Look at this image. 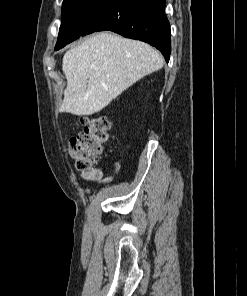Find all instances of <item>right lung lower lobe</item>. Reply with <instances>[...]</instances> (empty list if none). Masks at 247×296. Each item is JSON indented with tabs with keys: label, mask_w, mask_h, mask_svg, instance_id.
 <instances>
[{
	"label": "right lung lower lobe",
	"mask_w": 247,
	"mask_h": 296,
	"mask_svg": "<svg viewBox=\"0 0 247 296\" xmlns=\"http://www.w3.org/2000/svg\"><path fill=\"white\" fill-rule=\"evenodd\" d=\"M165 0H108L88 19L82 35L110 30L156 47L169 61L171 32Z\"/></svg>",
	"instance_id": "1"
}]
</instances>
